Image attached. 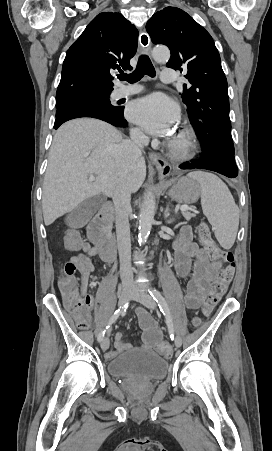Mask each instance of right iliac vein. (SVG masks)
<instances>
[{
    "mask_svg": "<svg viewBox=\"0 0 272 451\" xmlns=\"http://www.w3.org/2000/svg\"><path fill=\"white\" fill-rule=\"evenodd\" d=\"M133 295V289L130 287H124L120 297H119V306L122 307L124 306L131 298ZM109 338L105 337L101 340V348L103 351H106L109 348Z\"/></svg>",
    "mask_w": 272,
    "mask_h": 451,
    "instance_id": "63e3f726",
    "label": "right iliac vein"
}]
</instances>
